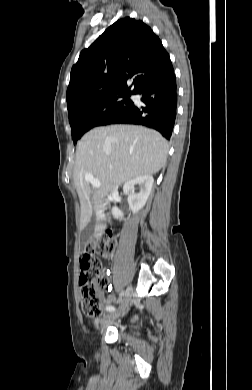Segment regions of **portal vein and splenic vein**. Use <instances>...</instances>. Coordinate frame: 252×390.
I'll return each mask as SVG.
<instances>
[{
  "instance_id": "18ae733b",
  "label": "portal vein and splenic vein",
  "mask_w": 252,
  "mask_h": 390,
  "mask_svg": "<svg viewBox=\"0 0 252 390\" xmlns=\"http://www.w3.org/2000/svg\"><path fill=\"white\" fill-rule=\"evenodd\" d=\"M85 180L90 182L91 185L94 187V188H99L101 186V183L98 179L94 178V176L92 174H86L85 175Z\"/></svg>"
}]
</instances>
